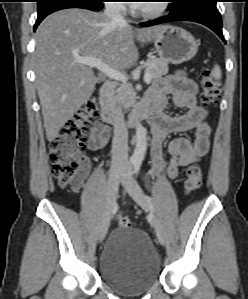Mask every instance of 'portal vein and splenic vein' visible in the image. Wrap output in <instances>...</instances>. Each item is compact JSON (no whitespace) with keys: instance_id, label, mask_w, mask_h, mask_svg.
<instances>
[{"instance_id":"1","label":"portal vein and splenic vein","mask_w":248,"mask_h":299,"mask_svg":"<svg viewBox=\"0 0 248 299\" xmlns=\"http://www.w3.org/2000/svg\"><path fill=\"white\" fill-rule=\"evenodd\" d=\"M77 61L83 65L89 66V67H95L99 71H101L104 75L110 77L111 79L126 82L127 76L115 69H112L109 67L106 63H104L102 60L95 58V57H78ZM144 81L146 83H149L151 81V75L149 73L144 74Z\"/></svg>"}]
</instances>
